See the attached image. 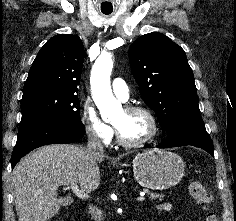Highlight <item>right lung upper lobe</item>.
Here are the masks:
<instances>
[{
    "instance_id": "1",
    "label": "right lung upper lobe",
    "mask_w": 236,
    "mask_h": 221,
    "mask_svg": "<svg viewBox=\"0 0 236 221\" xmlns=\"http://www.w3.org/2000/svg\"><path fill=\"white\" fill-rule=\"evenodd\" d=\"M83 60L84 47L78 36L50 38L30 68L23 95L40 90L77 93Z\"/></svg>"
}]
</instances>
